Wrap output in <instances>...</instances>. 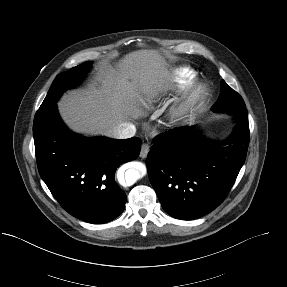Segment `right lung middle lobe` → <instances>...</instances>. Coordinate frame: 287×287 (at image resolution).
Returning <instances> with one entry per match:
<instances>
[{
  "label": "right lung middle lobe",
  "instance_id": "obj_1",
  "mask_svg": "<svg viewBox=\"0 0 287 287\" xmlns=\"http://www.w3.org/2000/svg\"><path fill=\"white\" fill-rule=\"evenodd\" d=\"M90 66V62H84L71 70L58 74L53 81L47 96L39 109L56 103L62 93L80 82Z\"/></svg>",
  "mask_w": 287,
  "mask_h": 287
}]
</instances>
